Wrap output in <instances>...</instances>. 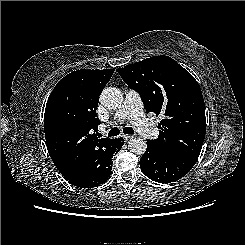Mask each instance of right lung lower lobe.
I'll return each instance as SVG.
<instances>
[{"label": "right lung lower lobe", "mask_w": 245, "mask_h": 245, "mask_svg": "<svg viewBox=\"0 0 245 245\" xmlns=\"http://www.w3.org/2000/svg\"><path fill=\"white\" fill-rule=\"evenodd\" d=\"M123 144L122 138L110 139L90 150L82 164L72 165L69 162H54V164L70 184L81 188H93L109 179L112 157L119 152Z\"/></svg>", "instance_id": "obj_1"}]
</instances>
